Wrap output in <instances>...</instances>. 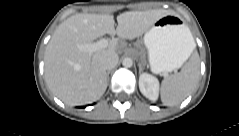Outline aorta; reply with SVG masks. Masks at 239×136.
Segmentation results:
<instances>
[{"mask_svg":"<svg viewBox=\"0 0 239 136\" xmlns=\"http://www.w3.org/2000/svg\"><path fill=\"white\" fill-rule=\"evenodd\" d=\"M122 65H123L124 67H126V68H130V67H132V65H133V61H132L131 58L126 57V58L123 59Z\"/></svg>","mask_w":239,"mask_h":136,"instance_id":"762f6f07","label":"aorta"}]
</instances>
